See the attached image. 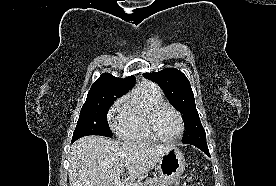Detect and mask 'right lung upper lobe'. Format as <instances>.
Instances as JSON below:
<instances>
[{"instance_id":"1","label":"right lung upper lobe","mask_w":276,"mask_h":186,"mask_svg":"<svg viewBox=\"0 0 276 186\" xmlns=\"http://www.w3.org/2000/svg\"><path fill=\"white\" fill-rule=\"evenodd\" d=\"M135 84V77L130 76L125 79L116 78L112 74L103 73L91 86L89 93L113 92L126 94Z\"/></svg>"}]
</instances>
